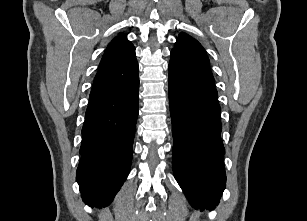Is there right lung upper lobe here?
<instances>
[{
    "instance_id": "right-lung-upper-lobe-1",
    "label": "right lung upper lobe",
    "mask_w": 307,
    "mask_h": 221,
    "mask_svg": "<svg viewBox=\"0 0 307 221\" xmlns=\"http://www.w3.org/2000/svg\"><path fill=\"white\" fill-rule=\"evenodd\" d=\"M134 50L126 34H119L110 42L99 64L90 99L121 90L138 78Z\"/></svg>"
}]
</instances>
